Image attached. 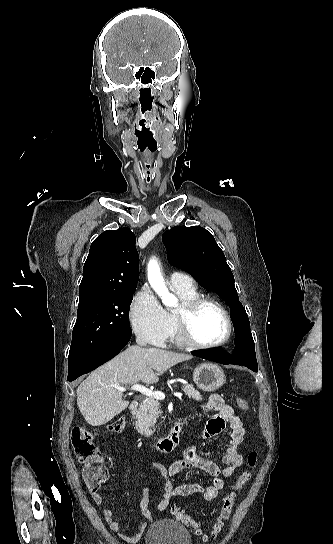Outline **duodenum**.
<instances>
[{
    "instance_id": "410a0bca",
    "label": "duodenum",
    "mask_w": 333,
    "mask_h": 544,
    "mask_svg": "<svg viewBox=\"0 0 333 544\" xmlns=\"http://www.w3.org/2000/svg\"><path fill=\"white\" fill-rule=\"evenodd\" d=\"M138 407V401L131 402L129 409L131 412H135ZM184 421H180L171 429L168 435L157 438L151 442V447L160 452H170L174 450L181 441L182 430L184 428Z\"/></svg>"
}]
</instances>
